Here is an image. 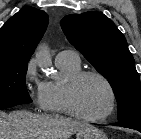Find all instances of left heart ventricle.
Wrapping results in <instances>:
<instances>
[{"label":"left heart ventricle","instance_id":"1","mask_svg":"<svg viewBox=\"0 0 141 139\" xmlns=\"http://www.w3.org/2000/svg\"><path fill=\"white\" fill-rule=\"evenodd\" d=\"M76 97L80 110L91 117L104 115L110 107V92L97 77L83 79L78 85Z\"/></svg>","mask_w":141,"mask_h":139}]
</instances>
